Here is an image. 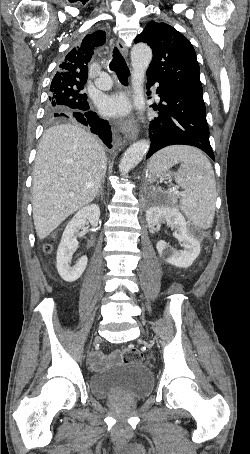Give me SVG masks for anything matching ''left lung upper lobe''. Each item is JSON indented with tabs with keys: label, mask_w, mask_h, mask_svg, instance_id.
<instances>
[{
	"label": "left lung upper lobe",
	"mask_w": 250,
	"mask_h": 454,
	"mask_svg": "<svg viewBox=\"0 0 250 454\" xmlns=\"http://www.w3.org/2000/svg\"><path fill=\"white\" fill-rule=\"evenodd\" d=\"M138 42L147 43L153 51L148 78L167 86L202 90L195 50L180 32L166 23L151 21L136 37Z\"/></svg>",
	"instance_id": "5c2ea615"
}]
</instances>
